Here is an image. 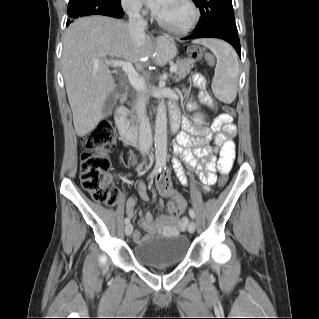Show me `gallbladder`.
I'll return each mask as SVG.
<instances>
[{
  "label": "gallbladder",
  "instance_id": "obj_1",
  "mask_svg": "<svg viewBox=\"0 0 319 319\" xmlns=\"http://www.w3.org/2000/svg\"><path fill=\"white\" fill-rule=\"evenodd\" d=\"M123 90V87L121 85H118L115 88L114 92L108 96L103 107V112L105 116H109L111 114L116 98L119 94L123 92Z\"/></svg>",
  "mask_w": 319,
  "mask_h": 319
}]
</instances>
